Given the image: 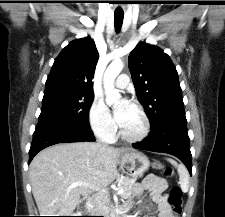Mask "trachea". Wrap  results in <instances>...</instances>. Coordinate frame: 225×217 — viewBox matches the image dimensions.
Returning a JSON list of instances; mask_svg holds the SVG:
<instances>
[{
	"label": "trachea",
	"mask_w": 225,
	"mask_h": 217,
	"mask_svg": "<svg viewBox=\"0 0 225 217\" xmlns=\"http://www.w3.org/2000/svg\"><path fill=\"white\" fill-rule=\"evenodd\" d=\"M124 14L123 13H115L114 15V25L116 31H120L122 23H123Z\"/></svg>",
	"instance_id": "trachea-1"
}]
</instances>
